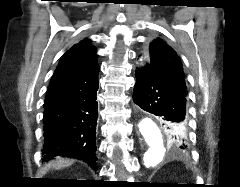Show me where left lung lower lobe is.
I'll list each match as a JSON object with an SVG mask.
<instances>
[{"label": "left lung lower lobe", "mask_w": 240, "mask_h": 187, "mask_svg": "<svg viewBox=\"0 0 240 187\" xmlns=\"http://www.w3.org/2000/svg\"><path fill=\"white\" fill-rule=\"evenodd\" d=\"M186 96L185 87L167 81L150 64L136 70L133 101L138 110L153 114L165 122L170 139L174 141L172 147L182 150H186L188 145H184L183 149L177 144L183 142L185 133L178 132L175 125L186 127Z\"/></svg>", "instance_id": "left-lung-lower-lobe-1"}]
</instances>
